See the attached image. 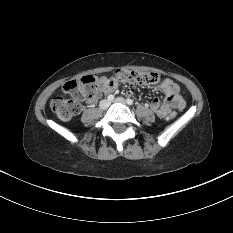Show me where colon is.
<instances>
[{
	"instance_id": "colon-1",
	"label": "colon",
	"mask_w": 233,
	"mask_h": 233,
	"mask_svg": "<svg viewBox=\"0 0 233 233\" xmlns=\"http://www.w3.org/2000/svg\"><path fill=\"white\" fill-rule=\"evenodd\" d=\"M114 78L120 82L140 85H156L165 82V79L158 73L129 69L116 70ZM99 86V79L92 75L66 82L62 91L67 97H55L51 102L52 111L60 120H71L80 111V101L92 97L98 91ZM175 116V113H171L169 118L173 119Z\"/></svg>"
}]
</instances>
